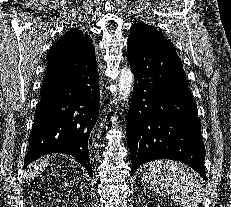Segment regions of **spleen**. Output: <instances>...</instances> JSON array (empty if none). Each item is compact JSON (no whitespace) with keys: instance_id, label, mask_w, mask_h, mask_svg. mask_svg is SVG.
<instances>
[{"instance_id":"obj_1","label":"spleen","mask_w":231,"mask_h":207,"mask_svg":"<svg viewBox=\"0 0 231 207\" xmlns=\"http://www.w3.org/2000/svg\"><path fill=\"white\" fill-rule=\"evenodd\" d=\"M148 188L171 198L183 207H197L202 200L201 184L193 172L177 162L157 160L140 168Z\"/></svg>"}]
</instances>
